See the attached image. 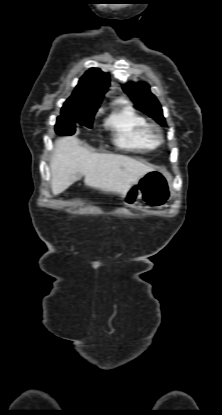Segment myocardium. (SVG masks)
Segmentation results:
<instances>
[{
	"mask_svg": "<svg viewBox=\"0 0 222 415\" xmlns=\"http://www.w3.org/2000/svg\"><path fill=\"white\" fill-rule=\"evenodd\" d=\"M147 133L149 138L155 143L160 144L164 141L163 132L160 126L157 124H150L147 127Z\"/></svg>",
	"mask_w": 222,
	"mask_h": 415,
	"instance_id": "myocardium-1",
	"label": "myocardium"
}]
</instances>
